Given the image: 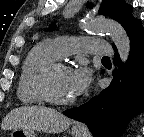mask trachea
<instances>
[{
    "label": "trachea",
    "instance_id": "1",
    "mask_svg": "<svg viewBox=\"0 0 144 137\" xmlns=\"http://www.w3.org/2000/svg\"><path fill=\"white\" fill-rule=\"evenodd\" d=\"M102 60H110L109 57H103Z\"/></svg>",
    "mask_w": 144,
    "mask_h": 137
}]
</instances>
